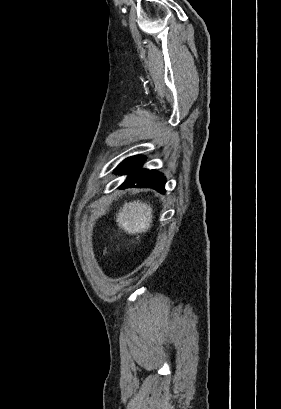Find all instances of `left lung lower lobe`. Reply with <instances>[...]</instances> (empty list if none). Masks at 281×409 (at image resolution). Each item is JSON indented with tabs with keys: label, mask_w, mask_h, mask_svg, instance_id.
<instances>
[{
	"label": "left lung lower lobe",
	"mask_w": 281,
	"mask_h": 409,
	"mask_svg": "<svg viewBox=\"0 0 281 409\" xmlns=\"http://www.w3.org/2000/svg\"><path fill=\"white\" fill-rule=\"evenodd\" d=\"M144 159L140 155L132 156L117 166L114 171L116 174L130 173L126 181L119 188L135 187L136 184L140 188H153L160 193H165L164 184L166 179L163 174L155 170L140 169Z\"/></svg>",
	"instance_id": "0a47b994"
}]
</instances>
